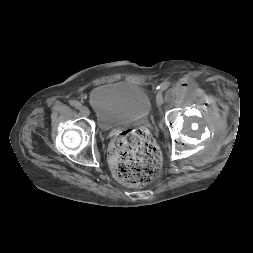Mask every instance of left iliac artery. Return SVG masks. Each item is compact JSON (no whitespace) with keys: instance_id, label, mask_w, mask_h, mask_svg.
<instances>
[{"instance_id":"1","label":"left iliac artery","mask_w":253,"mask_h":253,"mask_svg":"<svg viewBox=\"0 0 253 253\" xmlns=\"http://www.w3.org/2000/svg\"><path fill=\"white\" fill-rule=\"evenodd\" d=\"M169 86H170V82L165 81V82L161 83V85L159 86V89L162 90V91H164V90H166Z\"/></svg>"}]
</instances>
